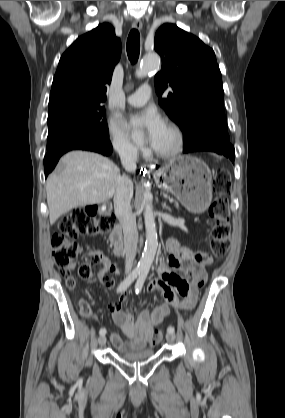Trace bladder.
I'll list each match as a JSON object with an SVG mask.
<instances>
[{
	"mask_svg": "<svg viewBox=\"0 0 285 418\" xmlns=\"http://www.w3.org/2000/svg\"><path fill=\"white\" fill-rule=\"evenodd\" d=\"M116 355L126 361H143L151 358L154 353L152 349H130L124 352L117 351Z\"/></svg>",
	"mask_w": 285,
	"mask_h": 418,
	"instance_id": "bladder-1",
	"label": "bladder"
}]
</instances>
